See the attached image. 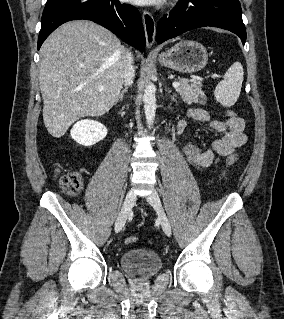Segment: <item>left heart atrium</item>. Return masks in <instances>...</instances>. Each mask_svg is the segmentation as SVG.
Returning a JSON list of instances; mask_svg holds the SVG:
<instances>
[{"mask_svg":"<svg viewBox=\"0 0 284 319\" xmlns=\"http://www.w3.org/2000/svg\"><path fill=\"white\" fill-rule=\"evenodd\" d=\"M136 5H152L158 3L160 0H127Z\"/></svg>","mask_w":284,"mask_h":319,"instance_id":"1","label":"left heart atrium"}]
</instances>
